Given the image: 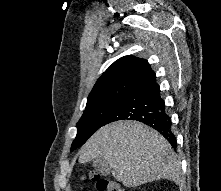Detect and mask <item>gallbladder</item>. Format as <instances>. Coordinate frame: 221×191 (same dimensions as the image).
I'll list each match as a JSON object with an SVG mask.
<instances>
[{
    "mask_svg": "<svg viewBox=\"0 0 221 191\" xmlns=\"http://www.w3.org/2000/svg\"><path fill=\"white\" fill-rule=\"evenodd\" d=\"M93 167L101 175H108L111 172L110 165L102 159L93 160Z\"/></svg>",
    "mask_w": 221,
    "mask_h": 191,
    "instance_id": "bac80fb5",
    "label": "gallbladder"
}]
</instances>
